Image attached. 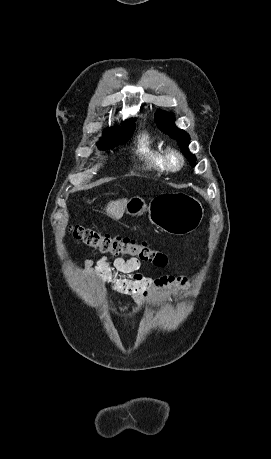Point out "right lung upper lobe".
I'll list each match as a JSON object with an SVG mask.
<instances>
[{
    "instance_id": "cb5924a9",
    "label": "right lung upper lobe",
    "mask_w": 271,
    "mask_h": 459,
    "mask_svg": "<svg viewBox=\"0 0 271 459\" xmlns=\"http://www.w3.org/2000/svg\"><path fill=\"white\" fill-rule=\"evenodd\" d=\"M135 121L134 119L127 120L126 122Z\"/></svg>"
}]
</instances>
